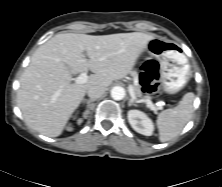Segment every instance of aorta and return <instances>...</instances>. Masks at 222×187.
Segmentation results:
<instances>
[{"label": "aorta", "mask_w": 222, "mask_h": 187, "mask_svg": "<svg viewBox=\"0 0 222 187\" xmlns=\"http://www.w3.org/2000/svg\"><path fill=\"white\" fill-rule=\"evenodd\" d=\"M111 97L114 100H122L125 97V89L121 86H115L111 89Z\"/></svg>", "instance_id": "762f6f07"}]
</instances>
